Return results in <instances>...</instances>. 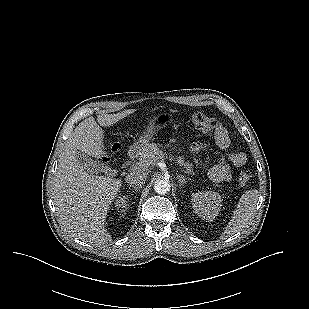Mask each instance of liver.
Returning a JSON list of instances; mask_svg holds the SVG:
<instances>
[{"mask_svg": "<svg viewBox=\"0 0 309 309\" xmlns=\"http://www.w3.org/2000/svg\"><path fill=\"white\" fill-rule=\"evenodd\" d=\"M133 112L135 109L99 115L97 121L100 126H112ZM100 126L89 117L74 129L60 155L53 184V201L61 224L73 237L97 245L111 240L105 219L121 180L89 174L78 164L76 152L95 158L105 156Z\"/></svg>", "mask_w": 309, "mask_h": 309, "instance_id": "liver-1", "label": "liver"}]
</instances>
